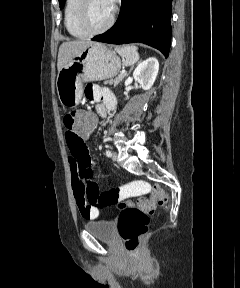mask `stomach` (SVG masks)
<instances>
[{
  "label": "stomach",
  "mask_w": 240,
  "mask_h": 288,
  "mask_svg": "<svg viewBox=\"0 0 240 288\" xmlns=\"http://www.w3.org/2000/svg\"><path fill=\"white\" fill-rule=\"evenodd\" d=\"M121 69V60L102 43H91L72 57L59 71L56 89L64 107L77 106L82 98L83 83L113 78Z\"/></svg>",
  "instance_id": "stomach-1"
}]
</instances>
